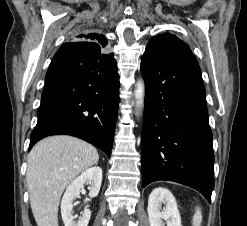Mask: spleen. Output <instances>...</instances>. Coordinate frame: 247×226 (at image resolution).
Masks as SVG:
<instances>
[{"label":"spleen","instance_id":"spleen-1","mask_svg":"<svg viewBox=\"0 0 247 226\" xmlns=\"http://www.w3.org/2000/svg\"><path fill=\"white\" fill-rule=\"evenodd\" d=\"M202 223V212L199 207H196L195 214L193 216V226H200Z\"/></svg>","mask_w":247,"mask_h":226}]
</instances>
